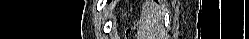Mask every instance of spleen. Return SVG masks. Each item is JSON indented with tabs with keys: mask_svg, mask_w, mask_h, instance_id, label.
<instances>
[{
	"mask_svg": "<svg viewBox=\"0 0 249 39\" xmlns=\"http://www.w3.org/2000/svg\"><path fill=\"white\" fill-rule=\"evenodd\" d=\"M163 10L153 1L146 0L139 21L141 39H162L164 35Z\"/></svg>",
	"mask_w": 249,
	"mask_h": 39,
	"instance_id": "spleen-1",
	"label": "spleen"
}]
</instances>
